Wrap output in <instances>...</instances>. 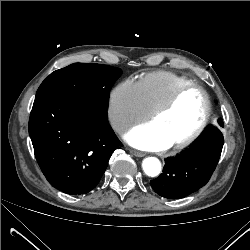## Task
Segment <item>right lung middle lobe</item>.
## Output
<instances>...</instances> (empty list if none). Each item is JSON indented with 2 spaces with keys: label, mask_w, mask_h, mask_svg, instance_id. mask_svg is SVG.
<instances>
[{
  "label": "right lung middle lobe",
  "mask_w": 250,
  "mask_h": 250,
  "mask_svg": "<svg viewBox=\"0 0 250 250\" xmlns=\"http://www.w3.org/2000/svg\"><path fill=\"white\" fill-rule=\"evenodd\" d=\"M121 73V69L107 65L74 63L51 73L36 97L63 92L108 109L110 89Z\"/></svg>",
  "instance_id": "dd1d6c3e"
}]
</instances>
